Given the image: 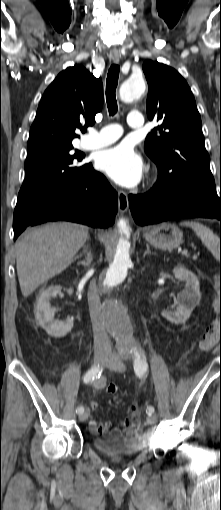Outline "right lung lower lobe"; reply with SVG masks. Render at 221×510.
<instances>
[{"instance_id":"1","label":"right lung lower lobe","mask_w":221,"mask_h":510,"mask_svg":"<svg viewBox=\"0 0 221 510\" xmlns=\"http://www.w3.org/2000/svg\"><path fill=\"white\" fill-rule=\"evenodd\" d=\"M117 207V192L89 163L74 183L41 196L21 216L14 215V239L28 226L49 221L65 220L105 228L114 224Z\"/></svg>"}]
</instances>
